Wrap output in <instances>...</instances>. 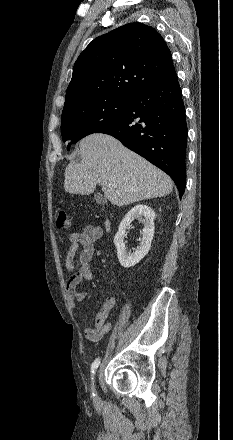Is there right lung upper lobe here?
I'll use <instances>...</instances> for the list:
<instances>
[{
    "mask_svg": "<svg viewBox=\"0 0 233 440\" xmlns=\"http://www.w3.org/2000/svg\"><path fill=\"white\" fill-rule=\"evenodd\" d=\"M175 72L162 36L129 23L94 39L74 64L64 107L91 98L130 99Z\"/></svg>",
    "mask_w": 233,
    "mask_h": 440,
    "instance_id": "obj_1",
    "label": "right lung upper lobe"
}]
</instances>
